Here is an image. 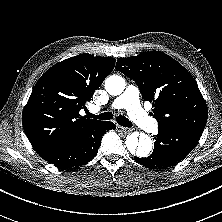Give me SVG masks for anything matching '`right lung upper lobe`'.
Returning a JSON list of instances; mask_svg holds the SVG:
<instances>
[{"instance_id":"obj_1","label":"right lung upper lobe","mask_w":222,"mask_h":222,"mask_svg":"<svg viewBox=\"0 0 222 222\" xmlns=\"http://www.w3.org/2000/svg\"><path fill=\"white\" fill-rule=\"evenodd\" d=\"M115 59L80 54L47 70L23 110V128L35 151L79 137L99 120L79 114L112 72Z\"/></svg>"}]
</instances>
